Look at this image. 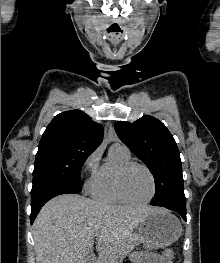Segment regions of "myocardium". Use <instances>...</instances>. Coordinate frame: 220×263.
Instances as JSON below:
<instances>
[{
    "label": "myocardium",
    "mask_w": 220,
    "mask_h": 263,
    "mask_svg": "<svg viewBox=\"0 0 220 263\" xmlns=\"http://www.w3.org/2000/svg\"><path fill=\"white\" fill-rule=\"evenodd\" d=\"M134 167H140V168L144 169L148 173V175L151 179V182H152V191H151L150 196L148 198H146L145 200H142V201H135V200H132L131 198H129L128 195L126 194V191L124 188L125 176L128 173V171ZM115 183H116V190H117V193L120 196V198L125 203L131 204V205L147 204L154 198V196L156 194V178H155L153 172L151 171V169L148 166H146L145 164L139 163V162L129 161L127 163L122 164L117 169Z\"/></svg>",
    "instance_id": "myocardium-1"
}]
</instances>
